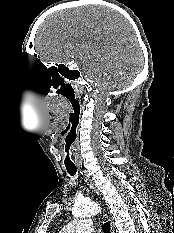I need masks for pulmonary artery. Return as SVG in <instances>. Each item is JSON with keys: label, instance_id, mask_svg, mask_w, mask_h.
<instances>
[{"label": "pulmonary artery", "instance_id": "e3ab8cb5", "mask_svg": "<svg viewBox=\"0 0 174 233\" xmlns=\"http://www.w3.org/2000/svg\"><path fill=\"white\" fill-rule=\"evenodd\" d=\"M94 223L91 220H74L66 225L59 233H93Z\"/></svg>", "mask_w": 174, "mask_h": 233}]
</instances>
